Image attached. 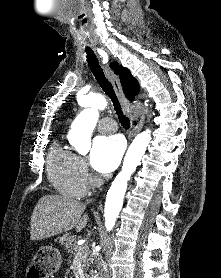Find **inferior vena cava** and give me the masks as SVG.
<instances>
[{
    "label": "inferior vena cava",
    "mask_w": 221,
    "mask_h": 278,
    "mask_svg": "<svg viewBox=\"0 0 221 278\" xmlns=\"http://www.w3.org/2000/svg\"><path fill=\"white\" fill-rule=\"evenodd\" d=\"M94 261H95L98 273L100 275V278H109L110 274H109L107 265H106L103 257L100 254L95 253Z\"/></svg>",
    "instance_id": "1"
}]
</instances>
